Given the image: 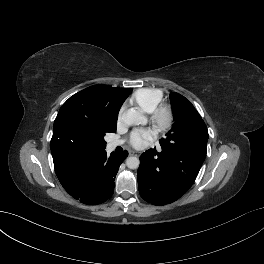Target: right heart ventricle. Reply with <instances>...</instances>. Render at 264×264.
<instances>
[{"instance_id": "right-heart-ventricle-1", "label": "right heart ventricle", "mask_w": 264, "mask_h": 264, "mask_svg": "<svg viewBox=\"0 0 264 264\" xmlns=\"http://www.w3.org/2000/svg\"><path fill=\"white\" fill-rule=\"evenodd\" d=\"M163 92L156 88H141L136 90L131 102L136 104L142 111L151 113L162 101Z\"/></svg>"}]
</instances>
